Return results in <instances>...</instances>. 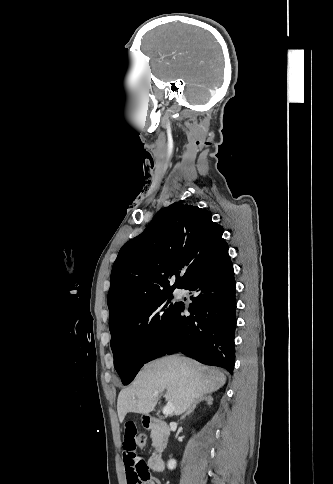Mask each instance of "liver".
<instances>
[{
    "instance_id": "liver-1",
    "label": "liver",
    "mask_w": 333,
    "mask_h": 484,
    "mask_svg": "<svg viewBox=\"0 0 333 484\" xmlns=\"http://www.w3.org/2000/svg\"><path fill=\"white\" fill-rule=\"evenodd\" d=\"M226 382L218 369L202 366L185 357L169 356L143 366L132 384L118 396L117 411L122 423L127 413L149 414L158 402L154 393L173 403L175 414L184 413L195 399L219 390Z\"/></svg>"
}]
</instances>
